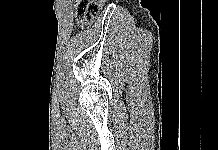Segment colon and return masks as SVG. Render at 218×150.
Masks as SVG:
<instances>
[{
  "label": "colon",
  "instance_id": "1",
  "mask_svg": "<svg viewBox=\"0 0 218 150\" xmlns=\"http://www.w3.org/2000/svg\"><path fill=\"white\" fill-rule=\"evenodd\" d=\"M103 5L104 0H79L76 3V16L79 26H91Z\"/></svg>",
  "mask_w": 218,
  "mask_h": 150
}]
</instances>
